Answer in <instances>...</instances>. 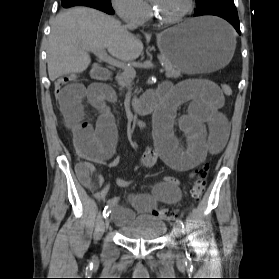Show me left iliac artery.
Returning a JSON list of instances; mask_svg holds the SVG:
<instances>
[{
    "instance_id": "obj_1",
    "label": "left iliac artery",
    "mask_w": 279,
    "mask_h": 279,
    "mask_svg": "<svg viewBox=\"0 0 279 279\" xmlns=\"http://www.w3.org/2000/svg\"><path fill=\"white\" fill-rule=\"evenodd\" d=\"M177 223L179 224V226L181 227L182 232L184 233L185 232V227H184V224H183L182 220L178 219Z\"/></svg>"
}]
</instances>
